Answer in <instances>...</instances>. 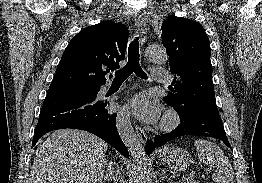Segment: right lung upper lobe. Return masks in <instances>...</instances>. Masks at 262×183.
Segmentation results:
<instances>
[{"instance_id": "obj_1", "label": "right lung upper lobe", "mask_w": 262, "mask_h": 183, "mask_svg": "<svg viewBox=\"0 0 262 183\" xmlns=\"http://www.w3.org/2000/svg\"><path fill=\"white\" fill-rule=\"evenodd\" d=\"M128 37L127 27L112 21L81 30L66 47L48 92L104 85L106 73L124 59Z\"/></svg>"}]
</instances>
